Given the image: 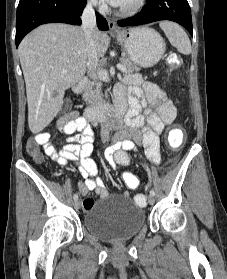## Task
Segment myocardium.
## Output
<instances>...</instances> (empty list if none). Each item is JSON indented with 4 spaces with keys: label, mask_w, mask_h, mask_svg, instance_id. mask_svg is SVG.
<instances>
[{
    "label": "myocardium",
    "mask_w": 227,
    "mask_h": 279,
    "mask_svg": "<svg viewBox=\"0 0 227 279\" xmlns=\"http://www.w3.org/2000/svg\"><path fill=\"white\" fill-rule=\"evenodd\" d=\"M146 0H135L130 6H118L119 14L123 16H133L139 13L145 6Z\"/></svg>",
    "instance_id": "myocardium-1"
}]
</instances>
